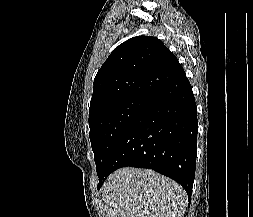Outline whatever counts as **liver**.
Masks as SVG:
<instances>
[{"label": "liver", "mask_w": 253, "mask_h": 217, "mask_svg": "<svg viewBox=\"0 0 253 217\" xmlns=\"http://www.w3.org/2000/svg\"><path fill=\"white\" fill-rule=\"evenodd\" d=\"M104 217H182L187 194L175 181L149 169L121 168L102 189Z\"/></svg>", "instance_id": "obj_1"}]
</instances>
